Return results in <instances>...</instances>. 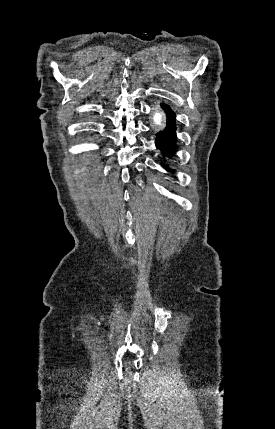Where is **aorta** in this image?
<instances>
[{
  "label": "aorta",
  "instance_id": "762f6f07",
  "mask_svg": "<svg viewBox=\"0 0 275 429\" xmlns=\"http://www.w3.org/2000/svg\"><path fill=\"white\" fill-rule=\"evenodd\" d=\"M151 118L155 125L161 126L165 122V110L158 105L154 106L151 112Z\"/></svg>",
  "mask_w": 275,
  "mask_h": 429
}]
</instances>
